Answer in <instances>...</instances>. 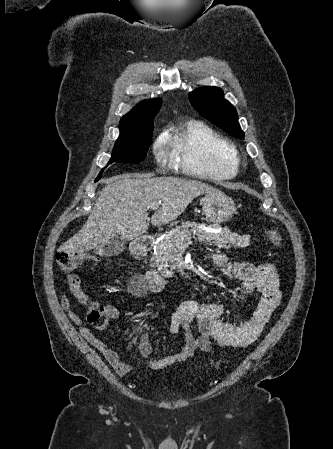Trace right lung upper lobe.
<instances>
[{"label":"right lung upper lobe","instance_id":"1","mask_svg":"<svg viewBox=\"0 0 333 449\" xmlns=\"http://www.w3.org/2000/svg\"><path fill=\"white\" fill-rule=\"evenodd\" d=\"M162 100L152 99L140 103L120 120L118 139H132L140 137L144 124L154 118L160 110Z\"/></svg>","mask_w":333,"mask_h":449}]
</instances>
